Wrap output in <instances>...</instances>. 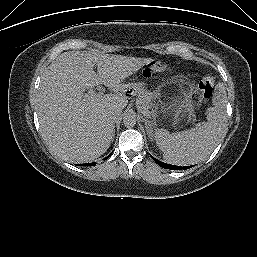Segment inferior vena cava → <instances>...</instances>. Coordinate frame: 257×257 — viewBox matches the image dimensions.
Returning <instances> with one entry per match:
<instances>
[{"instance_id": "inferior-vena-cava-1", "label": "inferior vena cava", "mask_w": 257, "mask_h": 257, "mask_svg": "<svg viewBox=\"0 0 257 257\" xmlns=\"http://www.w3.org/2000/svg\"><path fill=\"white\" fill-rule=\"evenodd\" d=\"M120 116H121V113L117 111L111 112L109 114V120L114 123L120 118Z\"/></svg>"}]
</instances>
